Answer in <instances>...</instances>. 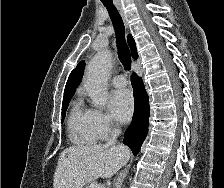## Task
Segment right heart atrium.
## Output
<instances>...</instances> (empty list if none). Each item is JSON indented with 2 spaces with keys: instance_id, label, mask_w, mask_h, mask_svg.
<instances>
[{
  "instance_id": "d8ad5b80",
  "label": "right heart atrium",
  "mask_w": 224,
  "mask_h": 188,
  "mask_svg": "<svg viewBox=\"0 0 224 188\" xmlns=\"http://www.w3.org/2000/svg\"><path fill=\"white\" fill-rule=\"evenodd\" d=\"M87 116L92 130L99 139L107 138L116 129L112 117L102 110L88 109Z\"/></svg>"
}]
</instances>
